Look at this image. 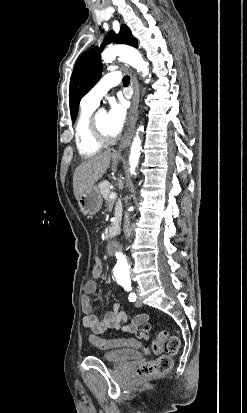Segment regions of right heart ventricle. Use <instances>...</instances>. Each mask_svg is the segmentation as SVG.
<instances>
[{"label":"right heart ventricle","mask_w":247,"mask_h":413,"mask_svg":"<svg viewBox=\"0 0 247 413\" xmlns=\"http://www.w3.org/2000/svg\"><path fill=\"white\" fill-rule=\"evenodd\" d=\"M93 107H89L88 111L81 113L75 127V141L78 152L83 158H91L98 155L103 146L98 144L92 135V119L91 110Z\"/></svg>","instance_id":"right-heart-ventricle-1"}]
</instances>
